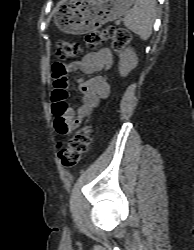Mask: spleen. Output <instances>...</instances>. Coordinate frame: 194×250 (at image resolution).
Returning a JSON list of instances; mask_svg holds the SVG:
<instances>
[{"label": "spleen", "instance_id": "1", "mask_svg": "<svg viewBox=\"0 0 194 250\" xmlns=\"http://www.w3.org/2000/svg\"><path fill=\"white\" fill-rule=\"evenodd\" d=\"M156 16V0H135V5L124 17V25L147 40L152 33Z\"/></svg>", "mask_w": 194, "mask_h": 250}]
</instances>
